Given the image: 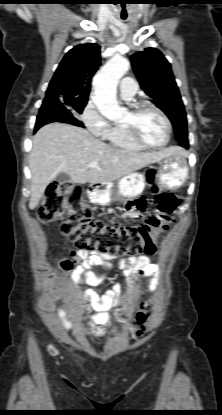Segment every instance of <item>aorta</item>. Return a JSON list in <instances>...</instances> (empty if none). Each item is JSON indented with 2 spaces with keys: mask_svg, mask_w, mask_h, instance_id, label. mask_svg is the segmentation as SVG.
<instances>
[{
  "mask_svg": "<svg viewBox=\"0 0 222 415\" xmlns=\"http://www.w3.org/2000/svg\"><path fill=\"white\" fill-rule=\"evenodd\" d=\"M129 67L130 63L126 58L115 55L94 76L93 101L99 112L108 119H117L123 114L117 101L116 90L119 80Z\"/></svg>",
  "mask_w": 222,
  "mask_h": 415,
  "instance_id": "1",
  "label": "aorta"
}]
</instances>
